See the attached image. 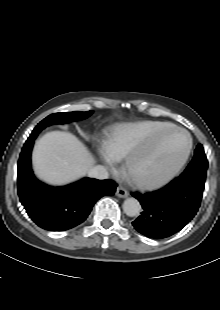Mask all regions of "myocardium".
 <instances>
[{"instance_id": "1", "label": "myocardium", "mask_w": 220, "mask_h": 310, "mask_svg": "<svg viewBox=\"0 0 220 310\" xmlns=\"http://www.w3.org/2000/svg\"><path fill=\"white\" fill-rule=\"evenodd\" d=\"M171 130L179 131V132L185 134L187 139H188L187 148L185 150L184 155L180 159V161L177 163V165L172 170H170L167 174H165L164 176H162L160 178L149 179V178H146V177L140 175L136 170L137 159L141 156L143 151L150 153L154 149L155 146H153L152 148L151 147L148 148V150L146 148L149 145L156 143L157 140L165 132L171 131ZM192 147H193V141H192V138H191L190 134L188 133V131H186L184 128L176 126V125H169L163 129L157 131L149 139L146 146L139 147V148L135 149L134 151H132L125 159V162L123 165V171L129 177L131 182L139 188H143V189L159 188V187L164 186L167 183H169L172 179H174L180 173V171L183 169V167L185 166V164H186V162L190 156V153L192 151Z\"/></svg>"}]
</instances>
